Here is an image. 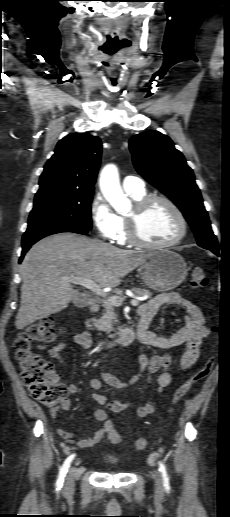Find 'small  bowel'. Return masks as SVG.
Segmentation results:
<instances>
[{"mask_svg": "<svg viewBox=\"0 0 230 517\" xmlns=\"http://www.w3.org/2000/svg\"><path fill=\"white\" fill-rule=\"evenodd\" d=\"M163 305L182 306L184 308L185 316L182 327L171 336H161L154 332L146 331L141 340L144 348L138 357V372L129 380L122 381L108 371H100L98 377L92 378L89 381L90 387L93 390H100L104 384L117 389L127 388L137 383L143 374L147 372V381L149 383L153 380V376L156 375V395H162L165 388L171 384L173 378L172 373L169 370L171 366V357L168 353L148 356L145 352L146 350L168 351L176 346L186 344V351L180 360V370L187 371L196 363L200 355V347L203 339L211 334V330L205 324L203 313L194 303L176 292L157 294L152 299L142 304L139 308V312L147 311L154 315ZM72 342L83 349H89L93 346L94 340L88 332H81L72 337ZM67 345L68 344L66 342H60L48 350L49 356L64 369L66 367L61 353ZM39 349L45 350L46 345H39ZM78 391L79 385L77 383H71L68 385V392L70 394H75ZM92 397L99 405L102 406L101 408H97L93 414L94 418L98 422L103 423V427L101 429L97 430L92 437L87 439H78L76 435L70 431L64 430L60 427L57 429L58 434L64 440L68 443L75 444L80 448L92 447L99 443L106 435L108 436V426L111 424V422L107 420L108 411L118 413L129 409L131 406L129 401H109L105 396L97 392L93 393ZM70 408V400L68 398H64L58 407L51 410L53 421H58V413L60 410L69 411ZM155 408V400L147 401L136 410V415L139 417L147 416L153 413ZM120 442L121 437L119 442L114 444H118Z\"/></svg>", "mask_w": 230, "mask_h": 517, "instance_id": "c3829d8e", "label": "small bowel"}]
</instances>
